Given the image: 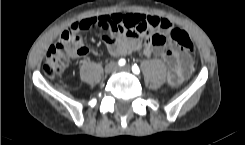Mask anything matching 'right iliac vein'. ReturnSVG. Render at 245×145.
<instances>
[{"instance_id":"right-iliac-vein-1","label":"right iliac vein","mask_w":245,"mask_h":145,"mask_svg":"<svg viewBox=\"0 0 245 145\" xmlns=\"http://www.w3.org/2000/svg\"><path fill=\"white\" fill-rule=\"evenodd\" d=\"M116 64L114 62H110L105 66V73L110 74L113 73L116 69Z\"/></svg>"}]
</instances>
